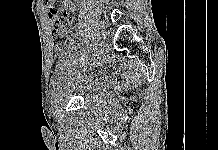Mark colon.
Wrapping results in <instances>:
<instances>
[{
	"label": "colon",
	"instance_id": "obj_1",
	"mask_svg": "<svg viewBox=\"0 0 218 150\" xmlns=\"http://www.w3.org/2000/svg\"><path fill=\"white\" fill-rule=\"evenodd\" d=\"M68 34H69L68 30H65V29L56 30L53 33V35H52L53 36L54 45L57 48L62 47L66 43V41L68 39Z\"/></svg>",
	"mask_w": 218,
	"mask_h": 150
}]
</instances>
